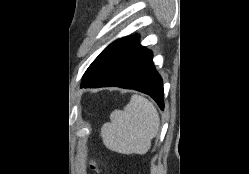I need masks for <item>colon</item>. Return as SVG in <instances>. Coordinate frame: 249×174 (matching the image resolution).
<instances>
[{"instance_id":"colon-1","label":"colon","mask_w":249,"mask_h":174,"mask_svg":"<svg viewBox=\"0 0 249 174\" xmlns=\"http://www.w3.org/2000/svg\"><path fill=\"white\" fill-rule=\"evenodd\" d=\"M90 165H91V169L96 172L99 173L100 172V168L99 165L97 163V161L94 158L90 159Z\"/></svg>"}]
</instances>
